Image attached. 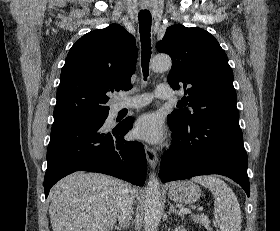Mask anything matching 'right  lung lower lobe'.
<instances>
[{
  "mask_svg": "<svg viewBox=\"0 0 280 231\" xmlns=\"http://www.w3.org/2000/svg\"><path fill=\"white\" fill-rule=\"evenodd\" d=\"M104 122L77 121L52 126L44 178L46 198L58 180L79 170L112 175L138 186L144 184L143 145L124 140L132 123L105 131Z\"/></svg>",
  "mask_w": 280,
  "mask_h": 231,
  "instance_id": "obj_1",
  "label": "right lung lower lobe"
}]
</instances>
